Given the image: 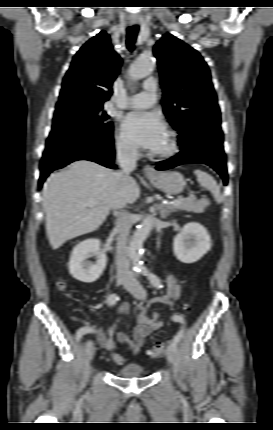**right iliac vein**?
<instances>
[{"instance_id":"obj_1","label":"right iliac vein","mask_w":273,"mask_h":430,"mask_svg":"<svg viewBox=\"0 0 273 430\" xmlns=\"http://www.w3.org/2000/svg\"><path fill=\"white\" fill-rule=\"evenodd\" d=\"M127 282H128V279H126V278H123V277L117 278V285L118 286L119 285H125V284H127ZM85 348H86L87 357L91 361L95 355V346H94L93 342L92 341L87 342Z\"/></svg>"}]
</instances>
